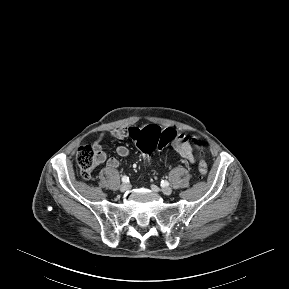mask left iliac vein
Listing matches in <instances>:
<instances>
[{
  "instance_id": "obj_1",
  "label": "left iliac vein",
  "mask_w": 289,
  "mask_h": 289,
  "mask_svg": "<svg viewBox=\"0 0 289 289\" xmlns=\"http://www.w3.org/2000/svg\"><path fill=\"white\" fill-rule=\"evenodd\" d=\"M151 189H152L153 191H158V188H157V186H155V185H151ZM161 191H162L165 195H170V194L172 193V189H171L170 187H163V188L161 189Z\"/></svg>"
}]
</instances>
